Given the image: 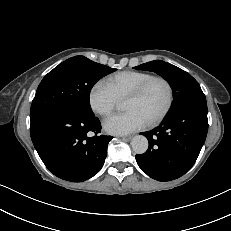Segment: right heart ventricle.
I'll return each instance as SVG.
<instances>
[{
	"label": "right heart ventricle",
	"mask_w": 231,
	"mask_h": 231,
	"mask_svg": "<svg viewBox=\"0 0 231 231\" xmlns=\"http://www.w3.org/2000/svg\"><path fill=\"white\" fill-rule=\"evenodd\" d=\"M151 76H153L151 73L145 71H121L109 76L106 80V85L121 100Z\"/></svg>",
	"instance_id": "obj_1"
}]
</instances>
